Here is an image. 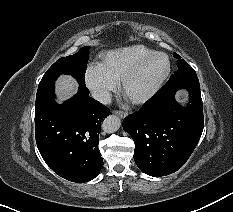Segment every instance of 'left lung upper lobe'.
I'll return each instance as SVG.
<instances>
[{"label":"left lung upper lobe","mask_w":233,"mask_h":212,"mask_svg":"<svg viewBox=\"0 0 233 212\" xmlns=\"http://www.w3.org/2000/svg\"><path fill=\"white\" fill-rule=\"evenodd\" d=\"M174 57L178 59L177 61L178 70L174 72L173 75H171V78L168 80V82H170L171 80L177 77H184L189 74H196L193 68L184 59H181L179 55L174 53Z\"/></svg>","instance_id":"obj_1"}]
</instances>
